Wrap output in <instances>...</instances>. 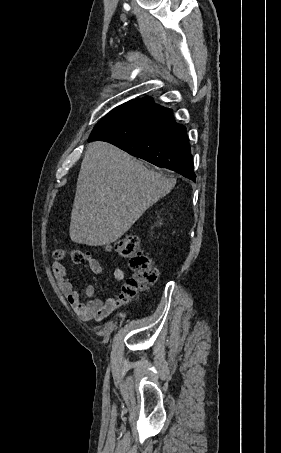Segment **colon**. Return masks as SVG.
I'll return each instance as SVG.
<instances>
[{"instance_id": "colon-1", "label": "colon", "mask_w": 281, "mask_h": 453, "mask_svg": "<svg viewBox=\"0 0 281 453\" xmlns=\"http://www.w3.org/2000/svg\"><path fill=\"white\" fill-rule=\"evenodd\" d=\"M103 250L108 255L124 259L128 263L131 276L125 283L124 299L135 297L145 289L147 284L158 279V272L152 266V259L141 250L138 238H124L112 241L103 246ZM70 255L74 262H84L91 259L89 254L76 248L70 249ZM61 257V251H56L54 258L59 260Z\"/></svg>"}]
</instances>
